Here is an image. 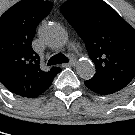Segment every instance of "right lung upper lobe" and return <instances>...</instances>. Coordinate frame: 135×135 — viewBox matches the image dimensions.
<instances>
[{"mask_svg":"<svg viewBox=\"0 0 135 135\" xmlns=\"http://www.w3.org/2000/svg\"><path fill=\"white\" fill-rule=\"evenodd\" d=\"M51 9L50 1L21 0L0 17V82L16 95H41L61 71H42L31 48L37 25Z\"/></svg>","mask_w":135,"mask_h":135,"instance_id":"right-lung-upper-lobe-1","label":"right lung upper lobe"}]
</instances>
